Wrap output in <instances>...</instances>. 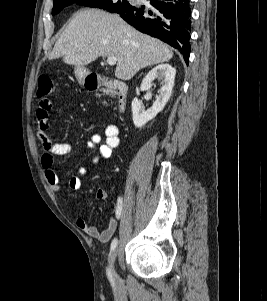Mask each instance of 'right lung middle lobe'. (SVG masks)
I'll return each instance as SVG.
<instances>
[{"mask_svg":"<svg viewBox=\"0 0 267 301\" xmlns=\"http://www.w3.org/2000/svg\"><path fill=\"white\" fill-rule=\"evenodd\" d=\"M73 3L103 9L111 13H120L132 7L128 0H54L52 14L59 13L63 8Z\"/></svg>","mask_w":267,"mask_h":301,"instance_id":"right-lung-middle-lobe-1","label":"right lung middle lobe"}]
</instances>
